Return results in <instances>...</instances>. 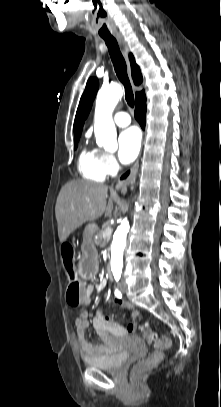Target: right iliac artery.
<instances>
[{
	"mask_svg": "<svg viewBox=\"0 0 221 407\" xmlns=\"http://www.w3.org/2000/svg\"><path fill=\"white\" fill-rule=\"evenodd\" d=\"M114 293H115V296H116V297H119V298H120V297L122 296V295H121V292H120L117 288L115 289V292H114Z\"/></svg>",
	"mask_w": 221,
	"mask_h": 407,
	"instance_id": "right-iliac-artery-1",
	"label": "right iliac artery"
}]
</instances>
